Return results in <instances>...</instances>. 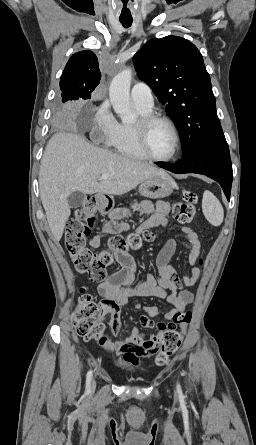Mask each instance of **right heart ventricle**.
Listing matches in <instances>:
<instances>
[{
  "label": "right heart ventricle",
  "mask_w": 256,
  "mask_h": 445,
  "mask_svg": "<svg viewBox=\"0 0 256 445\" xmlns=\"http://www.w3.org/2000/svg\"><path fill=\"white\" fill-rule=\"evenodd\" d=\"M136 109L141 116L150 114V111L142 110L138 107ZM109 145L124 156L134 159H146V156L141 152L137 144L133 125L131 124L119 123L117 132Z\"/></svg>",
  "instance_id": "right-heart-ventricle-1"
}]
</instances>
